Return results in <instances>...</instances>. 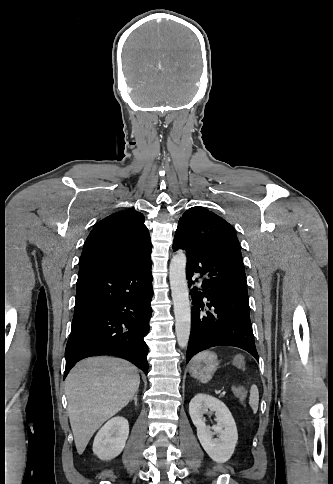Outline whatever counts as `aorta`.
Returning <instances> with one entry per match:
<instances>
[{"label":"aorta","instance_id":"obj_1","mask_svg":"<svg viewBox=\"0 0 333 484\" xmlns=\"http://www.w3.org/2000/svg\"><path fill=\"white\" fill-rule=\"evenodd\" d=\"M186 262L185 252L180 250L173 256L169 268L176 337L181 348L187 347L191 330V308L186 280Z\"/></svg>","mask_w":333,"mask_h":484}]
</instances>
